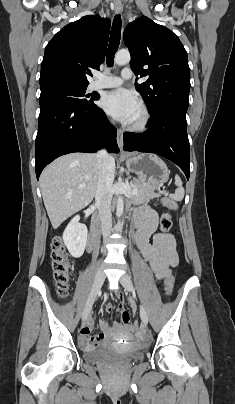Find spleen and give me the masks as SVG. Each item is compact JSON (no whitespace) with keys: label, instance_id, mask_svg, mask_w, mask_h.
Here are the masks:
<instances>
[{"label":"spleen","instance_id":"obj_1","mask_svg":"<svg viewBox=\"0 0 235 404\" xmlns=\"http://www.w3.org/2000/svg\"><path fill=\"white\" fill-rule=\"evenodd\" d=\"M175 185L177 186V189L175 190L174 194L170 195V198L175 200V201H182L184 198V188L182 186V181L178 175L175 176Z\"/></svg>","mask_w":235,"mask_h":404}]
</instances>
